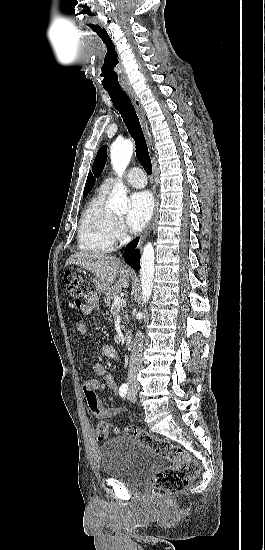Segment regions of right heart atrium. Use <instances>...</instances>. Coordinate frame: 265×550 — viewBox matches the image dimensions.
Returning <instances> with one entry per match:
<instances>
[{"label": "right heart atrium", "mask_w": 265, "mask_h": 550, "mask_svg": "<svg viewBox=\"0 0 265 550\" xmlns=\"http://www.w3.org/2000/svg\"><path fill=\"white\" fill-rule=\"evenodd\" d=\"M122 231H123V226H122V223L119 221L116 224V232H117V234H120V233H122Z\"/></svg>", "instance_id": "1"}]
</instances>
